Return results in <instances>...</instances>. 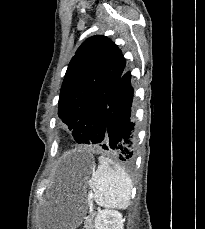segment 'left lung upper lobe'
Returning <instances> with one entry per match:
<instances>
[{"instance_id": "left-lung-upper-lobe-1", "label": "left lung upper lobe", "mask_w": 205, "mask_h": 229, "mask_svg": "<svg viewBox=\"0 0 205 229\" xmlns=\"http://www.w3.org/2000/svg\"><path fill=\"white\" fill-rule=\"evenodd\" d=\"M126 60L109 38L84 41L70 61L60 91L59 117L79 144H95L88 131L102 126L110 95L122 76Z\"/></svg>"}]
</instances>
